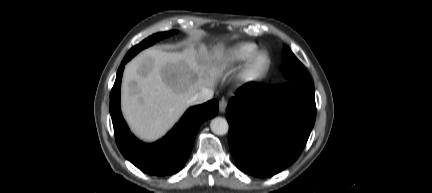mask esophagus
<instances>
[{"instance_id":"1","label":"esophagus","mask_w":432,"mask_h":193,"mask_svg":"<svg viewBox=\"0 0 432 193\" xmlns=\"http://www.w3.org/2000/svg\"><path fill=\"white\" fill-rule=\"evenodd\" d=\"M227 101L225 99H221L219 102V112L224 113L227 107Z\"/></svg>"}]
</instances>
